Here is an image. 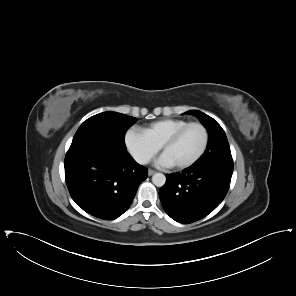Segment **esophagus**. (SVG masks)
<instances>
[{"label":"esophagus","instance_id":"esophagus-1","mask_svg":"<svg viewBox=\"0 0 296 296\" xmlns=\"http://www.w3.org/2000/svg\"><path fill=\"white\" fill-rule=\"evenodd\" d=\"M155 172H156L155 170H153V169H149V170H148V175H149V176H152Z\"/></svg>","mask_w":296,"mask_h":296}]
</instances>
